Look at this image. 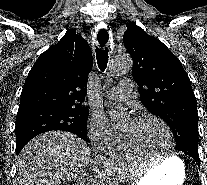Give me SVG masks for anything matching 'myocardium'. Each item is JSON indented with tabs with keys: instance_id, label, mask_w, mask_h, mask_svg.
Listing matches in <instances>:
<instances>
[{
	"instance_id": "f54148a6",
	"label": "myocardium",
	"mask_w": 207,
	"mask_h": 185,
	"mask_svg": "<svg viewBox=\"0 0 207 185\" xmlns=\"http://www.w3.org/2000/svg\"><path fill=\"white\" fill-rule=\"evenodd\" d=\"M136 120H154L157 121L161 126L163 127L166 137H167V147L166 149L161 152V153H147L144 151L137 150L131 143L130 139L128 136L123 132L122 133V143L126 149V151L136 157H143V158H150V159H160L167 157L172 150L173 144H174V139H173V134L172 131L167 124V122L162 119L161 117L157 115H152V114H147V115H141L136 118Z\"/></svg>"
}]
</instances>
